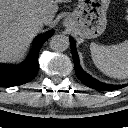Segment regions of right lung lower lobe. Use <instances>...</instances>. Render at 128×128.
Here are the masks:
<instances>
[{"mask_svg": "<svg viewBox=\"0 0 128 128\" xmlns=\"http://www.w3.org/2000/svg\"><path fill=\"white\" fill-rule=\"evenodd\" d=\"M53 33L54 31L52 30L40 35L36 40L33 51L21 64L12 68L0 67V86H18L33 80L39 69L38 56L40 48Z\"/></svg>", "mask_w": 128, "mask_h": 128, "instance_id": "right-lung-lower-lobe-1", "label": "right lung lower lobe"}]
</instances>
